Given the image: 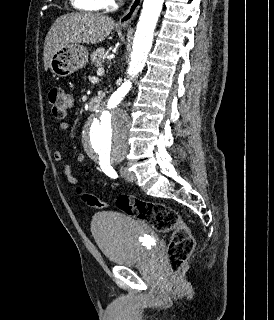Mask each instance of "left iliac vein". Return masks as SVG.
Returning <instances> with one entry per match:
<instances>
[{
  "label": "left iliac vein",
  "mask_w": 274,
  "mask_h": 320,
  "mask_svg": "<svg viewBox=\"0 0 274 320\" xmlns=\"http://www.w3.org/2000/svg\"><path fill=\"white\" fill-rule=\"evenodd\" d=\"M120 174H121V176H122L126 181H128V182H134V181H136V176H135V174L132 173V172H130V171L128 170V168L125 167V166H122V167L120 168Z\"/></svg>",
  "instance_id": "obj_1"
}]
</instances>
